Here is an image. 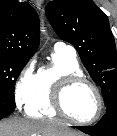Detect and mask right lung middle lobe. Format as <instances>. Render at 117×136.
Listing matches in <instances>:
<instances>
[{
	"instance_id": "obj_1",
	"label": "right lung middle lobe",
	"mask_w": 117,
	"mask_h": 136,
	"mask_svg": "<svg viewBox=\"0 0 117 136\" xmlns=\"http://www.w3.org/2000/svg\"><path fill=\"white\" fill-rule=\"evenodd\" d=\"M29 59L0 55V98L14 99L16 80Z\"/></svg>"
}]
</instances>
